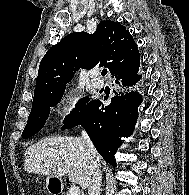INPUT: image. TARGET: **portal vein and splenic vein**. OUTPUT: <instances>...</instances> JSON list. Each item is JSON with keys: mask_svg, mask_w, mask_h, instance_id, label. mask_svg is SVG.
<instances>
[{"mask_svg": "<svg viewBox=\"0 0 189 195\" xmlns=\"http://www.w3.org/2000/svg\"><path fill=\"white\" fill-rule=\"evenodd\" d=\"M69 195H80V189L77 186H72L69 190Z\"/></svg>", "mask_w": 189, "mask_h": 195, "instance_id": "1", "label": "portal vein and splenic vein"}]
</instances>
